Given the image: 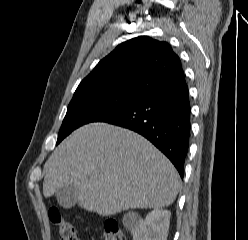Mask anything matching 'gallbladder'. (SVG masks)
Wrapping results in <instances>:
<instances>
[{
	"label": "gallbladder",
	"instance_id": "gallbladder-1",
	"mask_svg": "<svg viewBox=\"0 0 248 240\" xmlns=\"http://www.w3.org/2000/svg\"><path fill=\"white\" fill-rule=\"evenodd\" d=\"M60 206L70 209L75 206L78 199V190L73 185L62 187L55 193Z\"/></svg>",
	"mask_w": 248,
	"mask_h": 240
}]
</instances>
